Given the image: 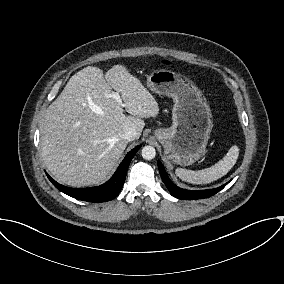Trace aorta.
<instances>
[{
	"mask_svg": "<svg viewBox=\"0 0 284 284\" xmlns=\"http://www.w3.org/2000/svg\"><path fill=\"white\" fill-rule=\"evenodd\" d=\"M141 155L145 160H152L156 156V150L153 146L147 145L142 148Z\"/></svg>",
	"mask_w": 284,
	"mask_h": 284,
	"instance_id": "762f6f07",
	"label": "aorta"
}]
</instances>
